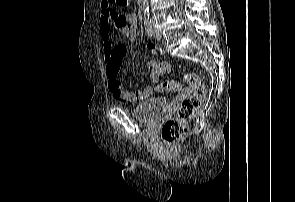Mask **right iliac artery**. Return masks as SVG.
<instances>
[{
  "instance_id": "1",
  "label": "right iliac artery",
  "mask_w": 295,
  "mask_h": 202,
  "mask_svg": "<svg viewBox=\"0 0 295 202\" xmlns=\"http://www.w3.org/2000/svg\"><path fill=\"white\" fill-rule=\"evenodd\" d=\"M145 29H146V32H147L148 36H150V37L154 36L152 26H151V22H145Z\"/></svg>"
}]
</instances>
